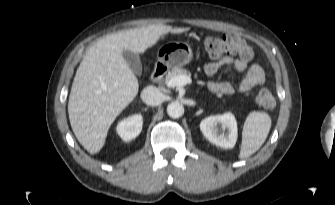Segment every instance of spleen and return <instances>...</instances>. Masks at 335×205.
<instances>
[{"label": "spleen", "mask_w": 335, "mask_h": 205, "mask_svg": "<svg viewBox=\"0 0 335 205\" xmlns=\"http://www.w3.org/2000/svg\"><path fill=\"white\" fill-rule=\"evenodd\" d=\"M271 128V118L265 112H251L244 123L239 158L245 159L258 151Z\"/></svg>", "instance_id": "3e777b00"}]
</instances>
